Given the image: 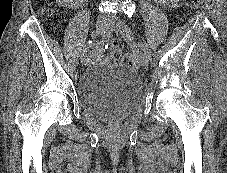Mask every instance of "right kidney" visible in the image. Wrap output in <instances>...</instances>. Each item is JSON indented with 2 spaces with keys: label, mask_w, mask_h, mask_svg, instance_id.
I'll return each mask as SVG.
<instances>
[{
  "label": "right kidney",
  "mask_w": 227,
  "mask_h": 173,
  "mask_svg": "<svg viewBox=\"0 0 227 173\" xmlns=\"http://www.w3.org/2000/svg\"><path fill=\"white\" fill-rule=\"evenodd\" d=\"M56 1L62 6H67V5L70 6L69 4L73 5V0H56Z\"/></svg>",
  "instance_id": "ca27d5eb"
}]
</instances>
